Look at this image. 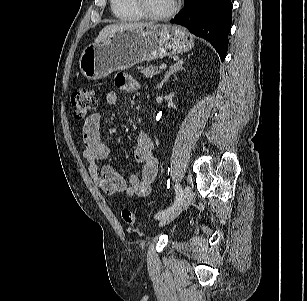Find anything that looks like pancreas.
<instances>
[{"mask_svg":"<svg viewBox=\"0 0 307 301\" xmlns=\"http://www.w3.org/2000/svg\"><path fill=\"white\" fill-rule=\"evenodd\" d=\"M140 70L141 74L144 75L147 78H151L154 75H157L160 73V70L156 66H146V67H138Z\"/></svg>","mask_w":307,"mask_h":301,"instance_id":"obj_1","label":"pancreas"}]
</instances>
